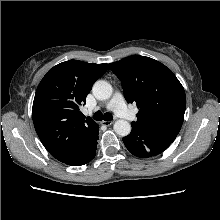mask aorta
Wrapping results in <instances>:
<instances>
[{"label": "aorta", "mask_w": 220, "mask_h": 220, "mask_svg": "<svg viewBox=\"0 0 220 220\" xmlns=\"http://www.w3.org/2000/svg\"><path fill=\"white\" fill-rule=\"evenodd\" d=\"M93 95L98 100H107L112 96L113 88L107 81L98 80L92 88ZM114 131L119 136H127L131 132V125L128 121L119 119L114 123Z\"/></svg>", "instance_id": "762f6f07"}]
</instances>
